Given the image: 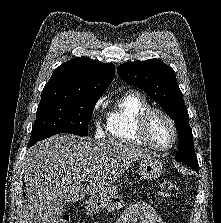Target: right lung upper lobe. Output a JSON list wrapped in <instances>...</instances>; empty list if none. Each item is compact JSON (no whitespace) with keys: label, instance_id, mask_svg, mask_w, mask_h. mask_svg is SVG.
Listing matches in <instances>:
<instances>
[{"label":"right lung upper lobe","instance_id":"1","mask_svg":"<svg viewBox=\"0 0 221 223\" xmlns=\"http://www.w3.org/2000/svg\"><path fill=\"white\" fill-rule=\"evenodd\" d=\"M115 75L112 63L76 57L56 68L42 91L41 101L100 98Z\"/></svg>","mask_w":221,"mask_h":223}]
</instances>
